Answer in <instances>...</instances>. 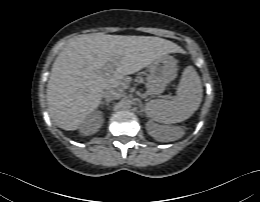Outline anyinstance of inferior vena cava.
Listing matches in <instances>:
<instances>
[{"mask_svg": "<svg viewBox=\"0 0 260 202\" xmlns=\"http://www.w3.org/2000/svg\"><path fill=\"white\" fill-rule=\"evenodd\" d=\"M107 100H116L123 96V89L120 87H114L107 89L103 95Z\"/></svg>", "mask_w": 260, "mask_h": 202, "instance_id": "obj_1", "label": "inferior vena cava"}]
</instances>
